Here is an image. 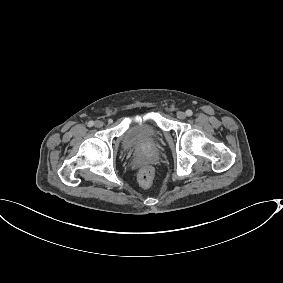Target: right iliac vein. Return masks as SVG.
<instances>
[{
    "label": "right iliac vein",
    "mask_w": 283,
    "mask_h": 283,
    "mask_svg": "<svg viewBox=\"0 0 283 283\" xmlns=\"http://www.w3.org/2000/svg\"><path fill=\"white\" fill-rule=\"evenodd\" d=\"M94 126L96 128H101L103 126V122L100 120L95 121Z\"/></svg>",
    "instance_id": "right-iliac-vein-1"
}]
</instances>
